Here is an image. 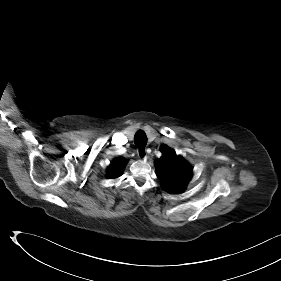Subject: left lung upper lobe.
I'll return each mask as SVG.
<instances>
[{
    "mask_svg": "<svg viewBox=\"0 0 281 281\" xmlns=\"http://www.w3.org/2000/svg\"><path fill=\"white\" fill-rule=\"evenodd\" d=\"M162 156L155 160L158 178L163 188L169 193H180L192 177V167L176 153L163 145Z\"/></svg>",
    "mask_w": 281,
    "mask_h": 281,
    "instance_id": "5c2ea615",
    "label": "left lung upper lobe"
}]
</instances>
